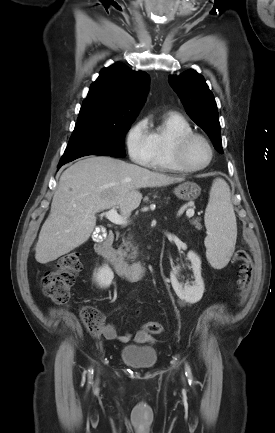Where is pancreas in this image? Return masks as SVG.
I'll list each match as a JSON object with an SVG mask.
<instances>
[{
	"mask_svg": "<svg viewBox=\"0 0 275 433\" xmlns=\"http://www.w3.org/2000/svg\"><path fill=\"white\" fill-rule=\"evenodd\" d=\"M191 223H192V224H193L197 229H200V228H201V224H200V222H199L198 220H192ZM122 247H125V250H122V249H121ZM122 247L120 248V251L123 253L124 256H126V257H128V258H134V257L136 256V254H137V252H136V250H135L136 248L133 247V245L131 244V242L123 240ZM130 249H132L133 252L131 253V255L128 256V255H127V252H129Z\"/></svg>",
	"mask_w": 275,
	"mask_h": 433,
	"instance_id": "1",
	"label": "pancreas"
}]
</instances>
